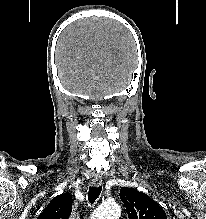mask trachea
Returning <instances> with one entry per match:
<instances>
[{
	"label": "trachea",
	"mask_w": 206,
	"mask_h": 219,
	"mask_svg": "<svg viewBox=\"0 0 206 219\" xmlns=\"http://www.w3.org/2000/svg\"><path fill=\"white\" fill-rule=\"evenodd\" d=\"M101 190H102V186L89 187L88 200L91 204H93L96 201V199L99 197Z\"/></svg>",
	"instance_id": "trachea-1"
}]
</instances>
